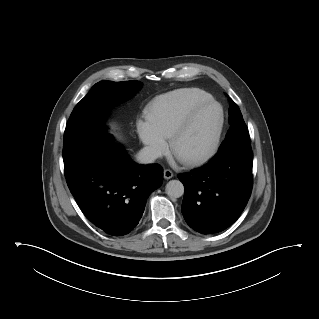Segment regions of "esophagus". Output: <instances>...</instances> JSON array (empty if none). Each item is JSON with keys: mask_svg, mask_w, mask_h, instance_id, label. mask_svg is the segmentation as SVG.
<instances>
[{"mask_svg": "<svg viewBox=\"0 0 319 319\" xmlns=\"http://www.w3.org/2000/svg\"><path fill=\"white\" fill-rule=\"evenodd\" d=\"M163 174H164V178L167 180L171 179L174 176L173 172L169 169H165Z\"/></svg>", "mask_w": 319, "mask_h": 319, "instance_id": "esophagus-1", "label": "esophagus"}]
</instances>
